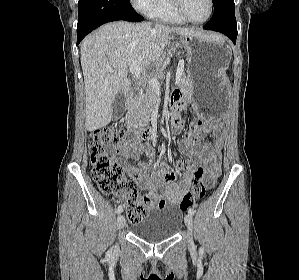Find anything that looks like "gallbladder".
<instances>
[{
	"label": "gallbladder",
	"mask_w": 299,
	"mask_h": 280,
	"mask_svg": "<svg viewBox=\"0 0 299 280\" xmlns=\"http://www.w3.org/2000/svg\"><path fill=\"white\" fill-rule=\"evenodd\" d=\"M123 104H124V96L123 94L117 95L113 102L112 107V119L117 120L122 115L123 110Z\"/></svg>",
	"instance_id": "1"
}]
</instances>
